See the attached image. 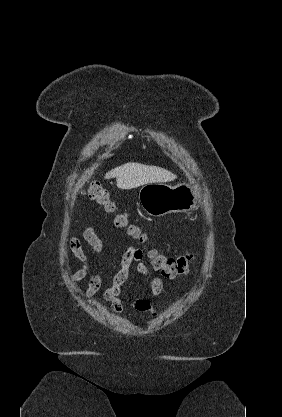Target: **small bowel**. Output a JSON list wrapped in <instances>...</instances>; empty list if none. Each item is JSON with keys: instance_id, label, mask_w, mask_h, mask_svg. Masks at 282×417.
Here are the masks:
<instances>
[{"instance_id": "1", "label": "small bowel", "mask_w": 282, "mask_h": 417, "mask_svg": "<svg viewBox=\"0 0 282 417\" xmlns=\"http://www.w3.org/2000/svg\"><path fill=\"white\" fill-rule=\"evenodd\" d=\"M83 239L90 245L93 251L97 254H100L103 250V244L101 239L96 233V230L93 226L87 227L83 231ZM70 245L74 252L76 258L80 261L81 266L70 272L68 275L70 279L74 282H79L86 278L89 272V262L88 258L81 246L80 240L76 237H71ZM137 263V271L150 278V289L147 292L148 298L157 297L163 291V281L157 276H153L148 262L143 259V253L140 249L131 247L127 249L122 257L120 262V269L116 273L113 279V283L105 291V299L111 305L113 311L117 314L122 313L124 309V300L122 298V286L129 277L130 269L132 264ZM102 285V274L97 272L92 275L89 279L88 286L85 290V297L92 298L100 289ZM148 298H137L133 300H127V304L138 312L149 313L152 317L157 316L156 308L150 303Z\"/></svg>"}]
</instances>
